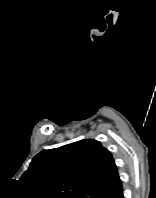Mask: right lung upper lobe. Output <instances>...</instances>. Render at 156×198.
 <instances>
[{"label": "right lung upper lobe", "mask_w": 156, "mask_h": 198, "mask_svg": "<svg viewBox=\"0 0 156 198\" xmlns=\"http://www.w3.org/2000/svg\"><path fill=\"white\" fill-rule=\"evenodd\" d=\"M22 180L39 198H113L122 190L112 154L93 139L40 152Z\"/></svg>", "instance_id": "1"}]
</instances>
